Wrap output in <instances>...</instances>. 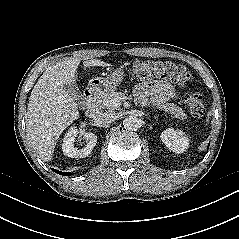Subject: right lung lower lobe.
Here are the masks:
<instances>
[{
    "label": "right lung lower lobe",
    "mask_w": 239,
    "mask_h": 239,
    "mask_svg": "<svg viewBox=\"0 0 239 239\" xmlns=\"http://www.w3.org/2000/svg\"><path fill=\"white\" fill-rule=\"evenodd\" d=\"M54 172L58 173V174H61V175H70L69 173H66V172H61L59 170H56V169H52Z\"/></svg>",
    "instance_id": "1"
}]
</instances>
